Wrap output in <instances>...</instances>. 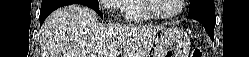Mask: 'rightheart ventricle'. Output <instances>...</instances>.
I'll return each instance as SVG.
<instances>
[{
    "mask_svg": "<svg viewBox=\"0 0 249 57\" xmlns=\"http://www.w3.org/2000/svg\"><path fill=\"white\" fill-rule=\"evenodd\" d=\"M123 12L127 19L132 21L151 18L143 7V0H126L123 3Z\"/></svg>",
    "mask_w": 249,
    "mask_h": 57,
    "instance_id": "e07e8e85",
    "label": "right heart ventricle"
}]
</instances>
